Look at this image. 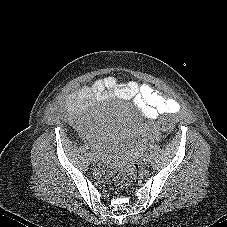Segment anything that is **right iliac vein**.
Here are the masks:
<instances>
[{
    "instance_id": "63e3f726",
    "label": "right iliac vein",
    "mask_w": 227,
    "mask_h": 227,
    "mask_svg": "<svg viewBox=\"0 0 227 227\" xmlns=\"http://www.w3.org/2000/svg\"><path fill=\"white\" fill-rule=\"evenodd\" d=\"M90 160H91L93 163H96L97 158H96L92 153H90Z\"/></svg>"
}]
</instances>
